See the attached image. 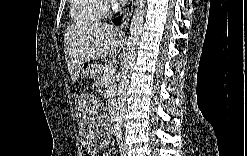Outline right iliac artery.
<instances>
[{
  "mask_svg": "<svg viewBox=\"0 0 247 156\" xmlns=\"http://www.w3.org/2000/svg\"><path fill=\"white\" fill-rule=\"evenodd\" d=\"M117 129V132H116V135H117V142L119 143L120 142V139H121V136H120V129L119 127L116 128Z\"/></svg>",
  "mask_w": 247,
  "mask_h": 156,
  "instance_id": "right-iliac-artery-1",
  "label": "right iliac artery"
}]
</instances>
